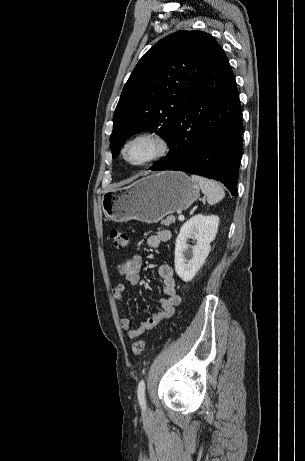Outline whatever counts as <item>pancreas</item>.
Segmentation results:
<instances>
[{
    "instance_id": "1",
    "label": "pancreas",
    "mask_w": 305,
    "mask_h": 461,
    "mask_svg": "<svg viewBox=\"0 0 305 461\" xmlns=\"http://www.w3.org/2000/svg\"><path fill=\"white\" fill-rule=\"evenodd\" d=\"M176 221V218L175 216H168L166 219L162 220L161 221V224L162 225H165V226H170L172 223H174Z\"/></svg>"
}]
</instances>
